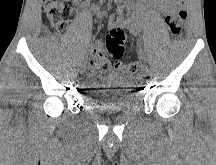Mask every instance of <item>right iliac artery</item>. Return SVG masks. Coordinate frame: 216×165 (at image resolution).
<instances>
[{
    "mask_svg": "<svg viewBox=\"0 0 216 165\" xmlns=\"http://www.w3.org/2000/svg\"><path fill=\"white\" fill-rule=\"evenodd\" d=\"M86 63V60H85V57L84 56H81L80 57V60H79V64L82 66L83 64Z\"/></svg>",
    "mask_w": 216,
    "mask_h": 165,
    "instance_id": "obj_1",
    "label": "right iliac artery"
}]
</instances>
